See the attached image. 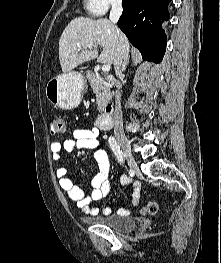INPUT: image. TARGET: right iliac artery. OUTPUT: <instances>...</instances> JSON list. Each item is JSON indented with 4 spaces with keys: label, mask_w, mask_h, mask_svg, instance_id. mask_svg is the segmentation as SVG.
Here are the masks:
<instances>
[{
    "label": "right iliac artery",
    "mask_w": 221,
    "mask_h": 263,
    "mask_svg": "<svg viewBox=\"0 0 221 263\" xmlns=\"http://www.w3.org/2000/svg\"><path fill=\"white\" fill-rule=\"evenodd\" d=\"M109 145L120 163H124L123 152L114 137H109Z\"/></svg>",
    "instance_id": "1"
}]
</instances>
